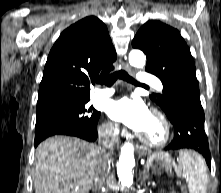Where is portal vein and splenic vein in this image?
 Returning <instances> with one entry per match:
<instances>
[{
  "instance_id": "portal-vein-and-splenic-vein-1",
  "label": "portal vein and splenic vein",
  "mask_w": 221,
  "mask_h": 193,
  "mask_svg": "<svg viewBox=\"0 0 221 193\" xmlns=\"http://www.w3.org/2000/svg\"><path fill=\"white\" fill-rule=\"evenodd\" d=\"M146 167L149 168V167H150V164H146Z\"/></svg>"
}]
</instances>
